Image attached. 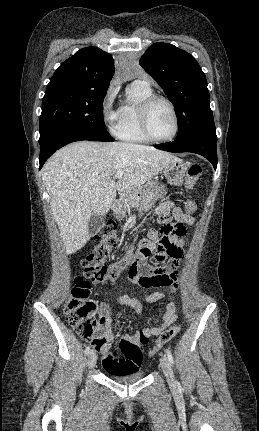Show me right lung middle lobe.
Instances as JSON below:
<instances>
[{"label": "right lung middle lobe", "mask_w": 259, "mask_h": 431, "mask_svg": "<svg viewBox=\"0 0 259 431\" xmlns=\"http://www.w3.org/2000/svg\"><path fill=\"white\" fill-rule=\"evenodd\" d=\"M106 92L73 89L46 91L42 100L40 137L62 126H77L103 135L107 132L102 105Z\"/></svg>", "instance_id": "obj_1"}]
</instances>
